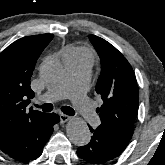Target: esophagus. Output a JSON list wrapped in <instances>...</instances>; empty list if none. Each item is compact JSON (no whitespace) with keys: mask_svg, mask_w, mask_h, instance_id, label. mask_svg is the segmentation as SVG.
Here are the masks:
<instances>
[{"mask_svg":"<svg viewBox=\"0 0 165 165\" xmlns=\"http://www.w3.org/2000/svg\"><path fill=\"white\" fill-rule=\"evenodd\" d=\"M70 119V116H67L65 114H60V121L61 123H66Z\"/></svg>","mask_w":165,"mask_h":165,"instance_id":"esophagus-1","label":"esophagus"}]
</instances>
